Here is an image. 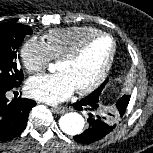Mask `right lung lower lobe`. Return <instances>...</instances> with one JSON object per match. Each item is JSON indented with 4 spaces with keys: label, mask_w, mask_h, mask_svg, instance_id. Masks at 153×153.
Here are the masks:
<instances>
[{
    "label": "right lung lower lobe",
    "mask_w": 153,
    "mask_h": 153,
    "mask_svg": "<svg viewBox=\"0 0 153 153\" xmlns=\"http://www.w3.org/2000/svg\"><path fill=\"white\" fill-rule=\"evenodd\" d=\"M12 88L14 87L0 85V141L2 142L16 137L25 129L29 112L36 105L35 101L25 98L9 102L5 94Z\"/></svg>",
    "instance_id": "obj_1"
}]
</instances>
